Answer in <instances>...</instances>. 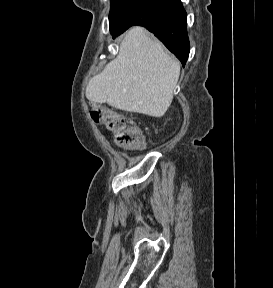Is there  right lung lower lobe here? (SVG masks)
<instances>
[{"instance_id": "98d812e1", "label": "right lung lower lobe", "mask_w": 273, "mask_h": 288, "mask_svg": "<svg viewBox=\"0 0 273 288\" xmlns=\"http://www.w3.org/2000/svg\"><path fill=\"white\" fill-rule=\"evenodd\" d=\"M133 25L154 33L185 65L190 47L187 14L180 0H137L110 31L116 37Z\"/></svg>"}]
</instances>
